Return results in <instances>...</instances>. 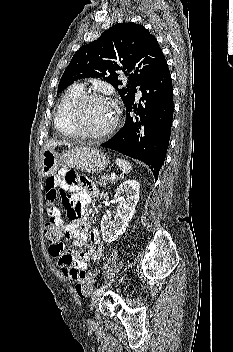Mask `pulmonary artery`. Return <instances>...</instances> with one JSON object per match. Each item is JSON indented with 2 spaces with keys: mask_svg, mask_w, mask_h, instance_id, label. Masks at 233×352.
I'll use <instances>...</instances> for the list:
<instances>
[{
  "mask_svg": "<svg viewBox=\"0 0 233 352\" xmlns=\"http://www.w3.org/2000/svg\"><path fill=\"white\" fill-rule=\"evenodd\" d=\"M141 95H142V93H141V91L139 90L138 93H137V96H138V97H141Z\"/></svg>",
  "mask_w": 233,
  "mask_h": 352,
  "instance_id": "pulmonary-artery-1",
  "label": "pulmonary artery"
}]
</instances>
